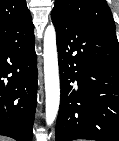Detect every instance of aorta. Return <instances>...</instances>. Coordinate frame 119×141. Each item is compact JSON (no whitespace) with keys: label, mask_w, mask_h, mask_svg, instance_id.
<instances>
[{"label":"aorta","mask_w":119,"mask_h":141,"mask_svg":"<svg viewBox=\"0 0 119 141\" xmlns=\"http://www.w3.org/2000/svg\"><path fill=\"white\" fill-rule=\"evenodd\" d=\"M43 47L46 92V123L47 125H51L57 116L60 103L56 32L53 25H49L45 30Z\"/></svg>","instance_id":"762f6f07"}]
</instances>
